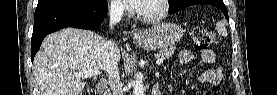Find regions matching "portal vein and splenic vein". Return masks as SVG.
<instances>
[{
	"mask_svg": "<svg viewBox=\"0 0 277 95\" xmlns=\"http://www.w3.org/2000/svg\"><path fill=\"white\" fill-rule=\"evenodd\" d=\"M163 63V59L162 58H157L156 60V64L157 65H161ZM101 74L100 71H86V72H80V73H75V76L77 77H82V78H88V77H93V76H97Z\"/></svg>",
	"mask_w": 277,
	"mask_h": 95,
	"instance_id": "1",
	"label": "portal vein and splenic vein"
}]
</instances>
